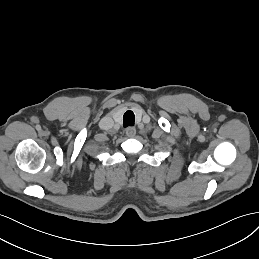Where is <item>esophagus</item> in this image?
Segmentation results:
<instances>
[{"mask_svg": "<svg viewBox=\"0 0 259 259\" xmlns=\"http://www.w3.org/2000/svg\"><path fill=\"white\" fill-rule=\"evenodd\" d=\"M135 134H136V129H135L134 127H128V128L126 129V135H127L128 137H134Z\"/></svg>", "mask_w": 259, "mask_h": 259, "instance_id": "obj_1", "label": "esophagus"}]
</instances>
